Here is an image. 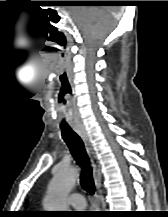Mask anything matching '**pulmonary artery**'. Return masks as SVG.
Returning <instances> with one entry per match:
<instances>
[{
    "mask_svg": "<svg viewBox=\"0 0 168 217\" xmlns=\"http://www.w3.org/2000/svg\"><path fill=\"white\" fill-rule=\"evenodd\" d=\"M68 203L75 209H83L86 206L84 196L80 193H72L68 197Z\"/></svg>",
    "mask_w": 168,
    "mask_h": 217,
    "instance_id": "e3ab8cb5",
    "label": "pulmonary artery"
}]
</instances>
